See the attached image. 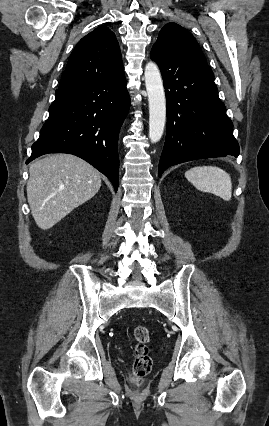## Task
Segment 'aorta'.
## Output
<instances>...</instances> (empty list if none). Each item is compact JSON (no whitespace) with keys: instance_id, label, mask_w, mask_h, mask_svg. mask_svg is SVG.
<instances>
[{"instance_id":"762f6f07","label":"aorta","mask_w":269,"mask_h":426,"mask_svg":"<svg viewBox=\"0 0 269 426\" xmlns=\"http://www.w3.org/2000/svg\"><path fill=\"white\" fill-rule=\"evenodd\" d=\"M144 77L149 102V139L156 143L163 135L166 121L165 92L156 63L146 64Z\"/></svg>"}]
</instances>
